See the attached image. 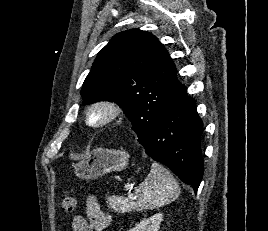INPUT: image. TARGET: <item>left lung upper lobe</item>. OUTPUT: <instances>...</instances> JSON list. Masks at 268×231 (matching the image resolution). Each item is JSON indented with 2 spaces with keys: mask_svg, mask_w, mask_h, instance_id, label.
<instances>
[{
  "mask_svg": "<svg viewBox=\"0 0 268 231\" xmlns=\"http://www.w3.org/2000/svg\"><path fill=\"white\" fill-rule=\"evenodd\" d=\"M183 86L158 39L131 29L116 34L98 53L81 96L84 104L116 102L139 137L153 128Z\"/></svg>",
  "mask_w": 268,
  "mask_h": 231,
  "instance_id": "left-lung-upper-lobe-1",
  "label": "left lung upper lobe"
}]
</instances>
